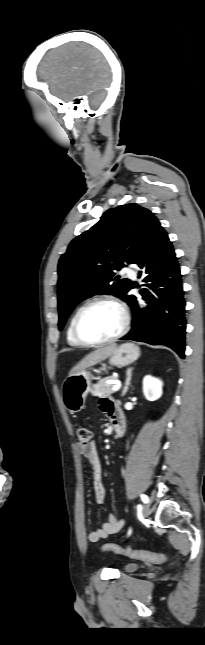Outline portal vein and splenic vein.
Segmentation results:
<instances>
[{
    "label": "portal vein and splenic vein",
    "mask_w": 205,
    "mask_h": 645,
    "mask_svg": "<svg viewBox=\"0 0 205 645\" xmlns=\"http://www.w3.org/2000/svg\"><path fill=\"white\" fill-rule=\"evenodd\" d=\"M120 388H121V383H120V382H117L115 385H113L112 390H113L114 392H116V391H118Z\"/></svg>",
    "instance_id": "obj_1"
}]
</instances>
